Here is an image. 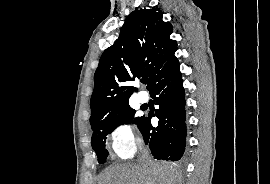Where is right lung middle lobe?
Listing matches in <instances>:
<instances>
[{
	"label": "right lung middle lobe",
	"mask_w": 270,
	"mask_h": 184,
	"mask_svg": "<svg viewBox=\"0 0 270 184\" xmlns=\"http://www.w3.org/2000/svg\"><path fill=\"white\" fill-rule=\"evenodd\" d=\"M135 112L136 111L134 109L127 105L109 118L91 125L93 130L91 143L93 150L96 152L99 163H104L108 156V151L105 149V140L108 134H110L119 125L129 124L132 121L139 127L143 117L134 118Z\"/></svg>",
	"instance_id": "1"
}]
</instances>
